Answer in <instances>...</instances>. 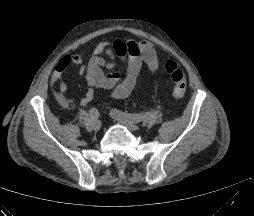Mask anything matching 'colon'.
<instances>
[{"label": "colon", "mask_w": 254, "mask_h": 216, "mask_svg": "<svg viewBox=\"0 0 254 216\" xmlns=\"http://www.w3.org/2000/svg\"><path fill=\"white\" fill-rule=\"evenodd\" d=\"M162 65L172 81L173 98L177 101L182 100L186 93V80L183 72L172 60L162 61Z\"/></svg>", "instance_id": "colon-1"}]
</instances>
